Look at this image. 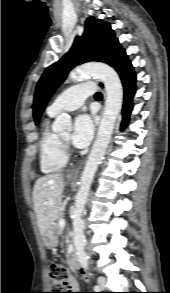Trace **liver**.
<instances>
[{
	"mask_svg": "<svg viewBox=\"0 0 170 293\" xmlns=\"http://www.w3.org/2000/svg\"><path fill=\"white\" fill-rule=\"evenodd\" d=\"M64 177L61 173L48 174L38 178L33 188V204L37 223L43 236L61 211V196Z\"/></svg>",
	"mask_w": 170,
	"mask_h": 293,
	"instance_id": "6515ba94",
	"label": "liver"
}]
</instances>
